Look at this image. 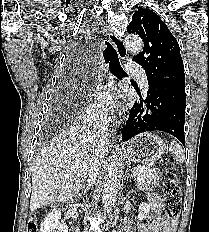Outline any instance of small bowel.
<instances>
[{
	"mask_svg": "<svg viewBox=\"0 0 209 232\" xmlns=\"http://www.w3.org/2000/svg\"><path fill=\"white\" fill-rule=\"evenodd\" d=\"M149 202L158 216L148 218L147 223L142 225L138 232H175L176 222L168 220L160 215L162 209L160 198L157 195L150 194ZM128 231L129 227H126L125 232Z\"/></svg>",
	"mask_w": 209,
	"mask_h": 232,
	"instance_id": "1",
	"label": "small bowel"
}]
</instances>
